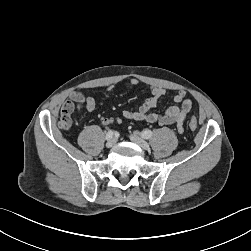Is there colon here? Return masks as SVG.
<instances>
[{"label": "colon", "mask_w": 251, "mask_h": 251, "mask_svg": "<svg viewBox=\"0 0 251 251\" xmlns=\"http://www.w3.org/2000/svg\"><path fill=\"white\" fill-rule=\"evenodd\" d=\"M73 110H74V105L72 104H66L62 107L60 121H59V125L61 128L63 129L70 128L72 124L71 114ZM188 125L191 130H195L198 126L197 119L195 117H192L189 120Z\"/></svg>", "instance_id": "colon-1"}]
</instances>
